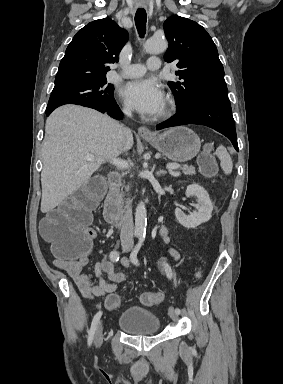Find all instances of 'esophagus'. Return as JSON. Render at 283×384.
<instances>
[{"label": "esophagus", "mask_w": 283, "mask_h": 384, "mask_svg": "<svg viewBox=\"0 0 283 384\" xmlns=\"http://www.w3.org/2000/svg\"><path fill=\"white\" fill-rule=\"evenodd\" d=\"M138 133L142 137H155L154 132H151V130H149L148 127H144V126L138 128Z\"/></svg>", "instance_id": "34e87169"}]
</instances>
